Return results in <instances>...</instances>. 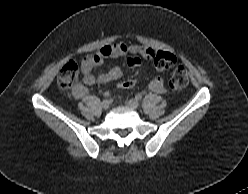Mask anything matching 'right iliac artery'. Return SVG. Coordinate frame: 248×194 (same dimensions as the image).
<instances>
[{
    "mask_svg": "<svg viewBox=\"0 0 248 194\" xmlns=\"http://www.w3.org/2000/svg\"><path fill=\"white\" fill-rule=\"evenodd\" d=\"M110 96V93L109 92H105L104 93V97L108 98Z\"/></svg>",
    "mask_w": 248,
    "mask_h": 194,
    "instance_id": "obj_1",
    "label": "right iliac artery"
}]
</instances>
